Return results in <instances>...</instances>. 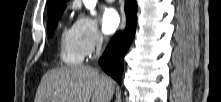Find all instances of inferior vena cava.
<instances>
[{
  "mask_svg": "<svg viewBox=\"0 0 221 102\" xmlns=\"http://www.w3.org/2000/svg\"><path fill=\"white\" fill-rule=\"evenodd\" d=\"M102 36L97 34L95 38V46H96V58L99 59L102 55Z\"/></svg>",
  "mask_w": 221,
  "mask_h": 102,
  "instance_id": "1",
  "label": "inferior vena cava"
}]
</instances>
